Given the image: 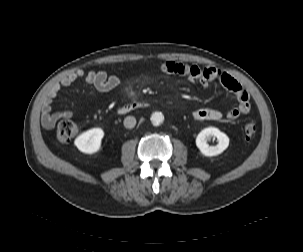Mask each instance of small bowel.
<instances>
[{
	"mask_svg": "<svg viewBox=\"0 0 303 252\" xmlns=\"http://www.w3.org/2000/svg\"><path fill=\"white\" fill-rule=\"evenodd\" d=\"M161 70L167 74L186 77L190 82L197 83L203 87L211 86L215 81H219L238 102L237 106L231 108L225 114V118L228 120H235L240 115L247 114L251 109L249 94L246 89L232 76L214 67H201L181 62H165L161 65ZM78 79H84L102 93L112 91L121 83V78L118 75H108L102 70L89 72L76 70L71 72L49 89L48 96L42 107V124L44 128L51 129L59 120L73 116L71 111H53V98L59 89L71 86ZM193 117L198 121H220L224 115L215 109L201 108L193 113Z\"/></svg>",
	"mask_w": 303,
	"mask_h": 252,
	"instance_id": "c3829d8e",
	"label": "small bowel"
}]
</instances>
